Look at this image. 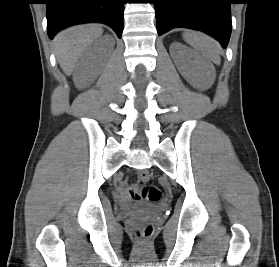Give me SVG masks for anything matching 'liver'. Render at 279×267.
Masks as SVG:
<instances>
[{
  "instance_id": "liver-1",
  "label": "liver",
  "mask_w": 279,
  "mask_h": 267,
  "mask_svg": "<svg viewBox=\"0 0 279 267\" xmlns=\"http://www.w3.org/2000/svg\"><path fill=\"white\" fill-rule=\"evenodd\" d=\"M103 33L97 24L78 25L61 31L54 38L55 55L62 70L71 75L84 50Z\"/></svg>"
}]
</instances>
